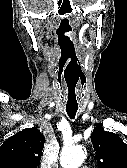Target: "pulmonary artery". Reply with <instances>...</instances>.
Instances as JSON below:
<instances>
[{"label": "pulmonary artery", "instance_id": "1", "mask_svg": "<svg viewBox=\"0 0 127 168\" xmlns=\"http://www.w3.org/2000/svg\"><path fill=\"white\" fill-rule=\"evenodd\" d=\"M81 168H89V167H87V166H83V167H81Z\"/></svg>", "mask_w": 127, "mask_h": 168}]
</instances>
